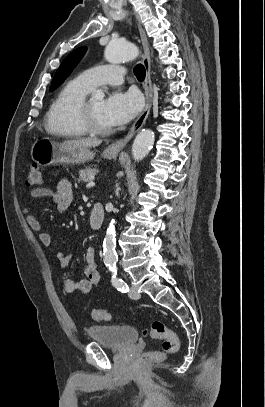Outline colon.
Returning <instances> with one entry per match:
<instances>
[{"instance_id":"5ec220e1","label":"colon","mask_w":265,"mask_h":407,"mask_svg":"<svg viewBox=\"0 0 265 407\" xmlns=\"http://www.w3.org/2000/svg\"><path fill=\"white\" fill-rule=\"evenodd\" d=\"M42 180L43 175L41 168L36 163L32 164L28 171L27 185H38ZM91 315L96 321H111L113 319V315L103 309H93ZM143 335L151 339L162 341V345L160 350L144 353L141 356L142 364L161 361L167 356L175 354L179 349L177 334L161 321H153L150 327L144 330Z\"/></svg>"}]
</instances>
